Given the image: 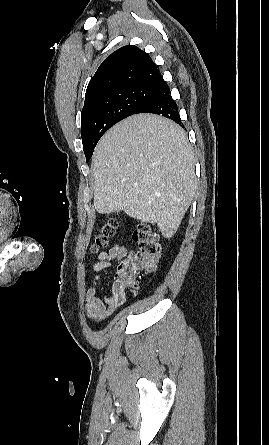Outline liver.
<instances>
[{
    "mask_svg": "<svg viewBox=\"0 0 269 445\" xmlns=\"http://www.w3.org/2000/svg\"><path fill=\"white\" fill-rule=\"evenodd\" d=\"M92 171L97 212L124 211L157 224L167 239L176 233L197 188L184 130L153 114L133 115L106 132L95 148Z\"/></svg>",
    "mask_w": 269,
    "mask_h": 445,
    "instance_id": "obj_1",
    "label": "liver"
}]
</instances>
